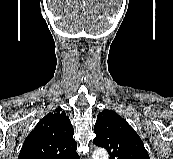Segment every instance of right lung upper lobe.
<instances>
[{
    "label": "right lung upper lobe",
    "instance_id": "1",
    "mask_svg": "<svg viewBox=\"0 0 173 159\" xmlns=\"http://www.w3.org/2000/svg\"><path fill=\"white\" fill-rule=\"evenodd\" d=\"M73 133L69 117L58 108L41 119L27 136L18 159H79Z\"/></svg>",
    "mask_w": 173,
    "mask_h": 159
}]
</instances>
